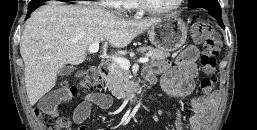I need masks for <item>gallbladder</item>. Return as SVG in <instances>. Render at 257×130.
I'll list each match as a JSON object with an SVG mask.
<instances>
[{"label":"gallbladder","mask_w":257,"mask_h":130,"mask_svg":"<svg viewBox=\"0 0 257 130\" xmlns=\"http://www.w3.org/2000/svg\"><path fill=\"white\" fill-rule=\"evenodd\" d=\"M73 70H74L73 67L65 65L59 70L58 75L59 76H68V75L72 74Z\"/></svg>","instance_id":"1"}]
</instances>
